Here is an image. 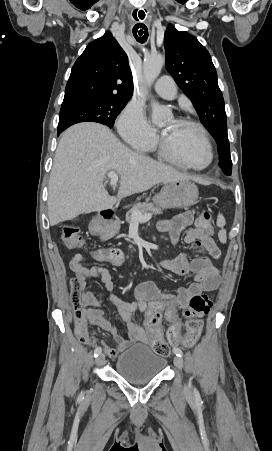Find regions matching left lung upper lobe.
I'll list each match as a JSON object with an SVG mask.
<instances>
[{
  "instance_id": "left-lung-upper-lobe-1",
  "label": "left lung upper lobe",
  "mask_w": 272,
  "mask_h": 451,
  "mask_svg": "<svg viewBox=\"0 0 272 451\" xmlns=\"http://www.w3.org/2000/svg\"><path fill=\"white\" fill-rule=\"evenodd\" d=\"M164 45L167 71L194 103L201 122L218 143L222 171L231 175L225 104L209 52L196 37L173 25L165 31Z\"/></svg>"
}]
</instances>
